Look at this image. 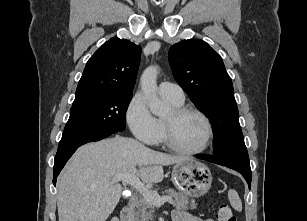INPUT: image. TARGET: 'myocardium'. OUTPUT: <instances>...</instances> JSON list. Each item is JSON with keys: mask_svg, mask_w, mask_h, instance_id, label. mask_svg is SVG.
<instances>
[{"mask_svg": "<svg viewBox=\"0 0 307 221\" xmlns=\"http://www.w3.org/2000/svg\"><path fill=\"white\" fill-rule=\"evenodd\" d=\"M173 115L177 117H181L187 114H195L198 115L205 123L206 125V138L203 143V145L200 148L197 149H192V150H187L180 148L177 146L173 140V126L172 123L168 120L163 119V130H164V144L173 152L182 154V155H198L203 152H205L211 145L214 137V128L211 119L209 116L201 111L198 108L191 107V106H179V107H174L173 110Z\"/></svg>", "mask_w": 307, "mask_h": 221, "instance_id": "obj_1", "label": "myocardium"}]
</instances>
